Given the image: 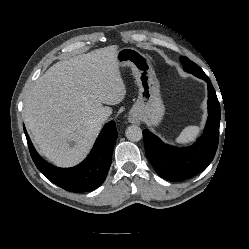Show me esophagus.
I'll list each match as a JSON object with an SVG mask.
<instances>
[{
  "mask_svg": "<svg viewBox=\"0 0 249 249\" xmlns=\"http://www.w3.org/2000/svg\"><path fill=\"white\" fill-rule=\"evenodd\" d=\"M129 121L133 124H139L140 123V120L137 116H130L129 117Z\"/></svg>",
  "mask_w": 249,
  "mask_h": 249,
  "instance_id": "34e87169",
  "label": "esophagus"
}]
</instances>
